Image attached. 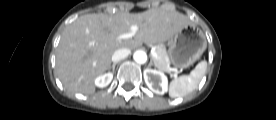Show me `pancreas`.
Listing matches in <instances>:
<instances>
[{
  "label": "pancreas",
  "instance_id": "obj_1",
  "mask_svg": "<svg viewBox=\"0 0 276 120\" xmlns=\"http://www.w3.org/2000/svg\"><path fill=\"white\" fill-rule=\"evenodd\" d=\"M157 57L153 58L155 66L161 70L166 71L169 67V58L165 47L161 46L156 50Z\"/></svg>",
  "mask_w": 276,
  "mask_h": 120
}]
</instances>
